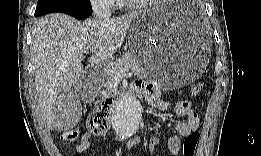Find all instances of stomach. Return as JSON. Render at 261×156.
I'll return each mask as SVG.
<instances>
[{"instance_id": "1", "label": "stomach", "mask_w": 261, "mask_h": 156, "mask_svg": "<svg viewBox=\"0 0 261 156\" xmlns=\"http://www.w3.org/2000/svg\"><path fill=\"white\" fill-rule=\"evenodd\" d=\"M188 6L191 3L185 1L162 2L142 12L130 29L132 53L162 87L191 83L208 63L210 40L191 22ZM101 83V72L95 71L83 84L94 95Z\"/></svg>"}]
</instances>
